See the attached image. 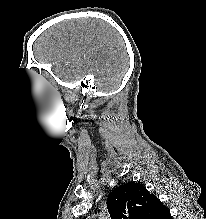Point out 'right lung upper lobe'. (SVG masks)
I'll return each mask as SVG.
<instances>
[{
  "label": "right lung upper lobe",
  "mask_w": 206,
  "mask_h": 219,
  "mask_svg": "<svg viewBox=\"0 0 206 219\" xmlns=\"http://www.w3.org/2000/svg\"><path fill=\"white\" fill-rule=\"evenodd\" d=\"M111 219H172L166 206L138 183L128 182L107 199Z\"/></svg>",
  "instance_id": "obj_1"
}]
</instances>
